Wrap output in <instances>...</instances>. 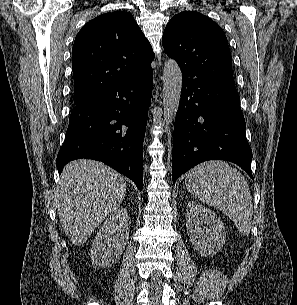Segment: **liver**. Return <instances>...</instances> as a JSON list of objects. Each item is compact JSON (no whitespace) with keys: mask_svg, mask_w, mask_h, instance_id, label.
<instances>
[{"mask_svg":"<svg viewBox=\"0 0 297 305\" xmlns=\"http://www.w3.org/2000/svg\"><path fill=\"white\" fill-rule=\"evenodd\" d=\"M127 185L123 176L94 160L68 163L55 193L56 208L66 236L81 245L122 203Z\"/></svg>","mask_w":297,"mask_h":305,"instance_id":"obj_1","label":"liver"}]
</instances>
